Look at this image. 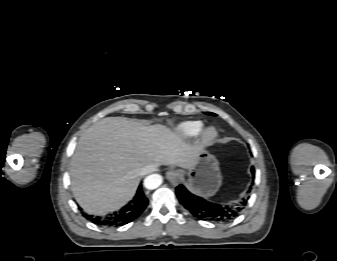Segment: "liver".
<instances>
[{
	"instance_id": "6515ba94",
	"label": "liver",
	"mask_w": 337,
	"mask_h": 261,
	"mask_svg": "<svg viewBox=\"0 0 337 261\" xmlns=\"http://www.w3.org/2000/svg\"><path fill=\"white\" fill-rule=\"evenodd\" d=\"M200 149L166 126L107 117L88 128L77 143L70 163L71 190L87 213L103 215L134 196L143 167L190 169Z\"/></svg>"
}]
</instances>
